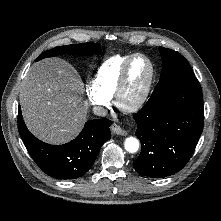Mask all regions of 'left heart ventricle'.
Masks as SVG:
<instances>
[{
  "label": "left heart ventricle",
  "mask_w": 221,
  "mask_h": 221,
  "mask_svg": "<svg viewBox=\"0 0 221 221\" xmlns=\"http://www.w3.org/2000/svg\"><path fill=\"white\" fill-rule=\"evenodd\" d=\"M149 74L150 67L146 60L142 58L134 60L129 70L127 88L123 98V102L126 105L133 103L141 95L148 81Z\"/></svg>",
  "instance_id": "obj_1"
}]
</instances>
